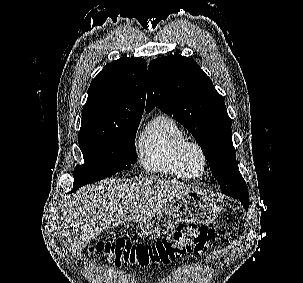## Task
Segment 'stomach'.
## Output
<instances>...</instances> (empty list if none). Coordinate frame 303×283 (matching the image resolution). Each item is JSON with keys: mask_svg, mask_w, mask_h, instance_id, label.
<instances>
[{"mask_svg": "<svg viewBox=\"0 0 303 283\" xmlns=\"http://www.w3.org/2000/svg\"><path fill=\"white\" fill-rule=\"evenodd\" d=\"M219 211L220 205L213 196L199 191L189 192L140 221L141 234L158 238L174 229L179 222L208 224L215 220Z\"/></svg>", "mask_w": 303, "mask_h": 283, "instance_id": "0dacf381", "label": "stomach"}]
</instances>
